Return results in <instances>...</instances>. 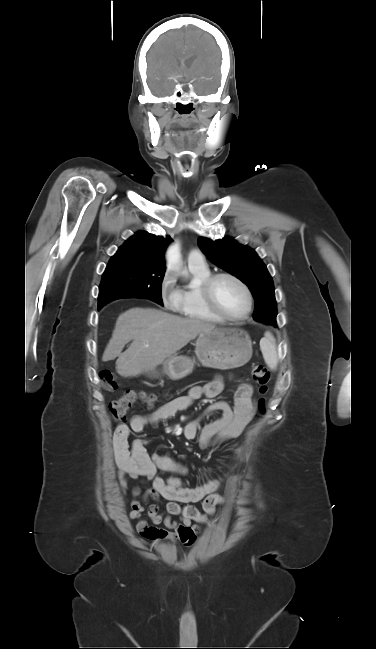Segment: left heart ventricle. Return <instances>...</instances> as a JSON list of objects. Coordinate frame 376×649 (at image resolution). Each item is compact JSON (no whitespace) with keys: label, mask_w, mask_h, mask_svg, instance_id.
Here are the masks:
<instances>
[{"label":"left heart ventricle","mask_w":376,"mask_h":649,"mask_svg":"<svg viewBox=\"0 0 376 649\" xmlns=\"http://www.w3.org/2000/svg\"><path fill=\"white\" fill-rule=\"evenodd\" d=\"M215 299L220 308L229 316H241L247 307V300L242 288L229 278H221L214 288Z\"/></svg>","instance_id":"obj_1"}]
</instances>
